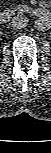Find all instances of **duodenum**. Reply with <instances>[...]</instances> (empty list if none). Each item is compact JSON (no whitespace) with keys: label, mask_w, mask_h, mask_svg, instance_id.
<instances>
[{"label":"duodenum","mask_w":51,"mask_h":153,"mask_svg":"<svg viewBox=\"0 0 51 153\" xmlns=\"http://www.w3.org/2000/svg\"><path fill=\"white\" fill-rule=\"evenodd\" d=\"M16 15V12L12 9H5L0 14V21L3 24L8 23L14 16ZM28 15L35 18H44L49 19L50 14L46 8L43 7H35L34 9L30 10L28 12Z\"/></svg>","instance_id":"obj_1"}]
</instances>
